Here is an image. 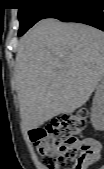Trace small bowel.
Here are the masks:
<instances>
[{
  "instance_id": "c3829d8e",
  "label": "small bowel",
  "mask_w": 104,
  "mask_h": 169,
  "mask_svg": "<svg viewBox=\"0 0 104 169\" xmlns=\"http://www.w3.org/2000/svg\"><path fill=\"white\" fill-rule=\"evenodd\" d=\"M90 140L96 145L97 151L100 154L101 149H102L101 143L99 141L95 140V139H90Z\"/></svg>"
}]
</instances>
